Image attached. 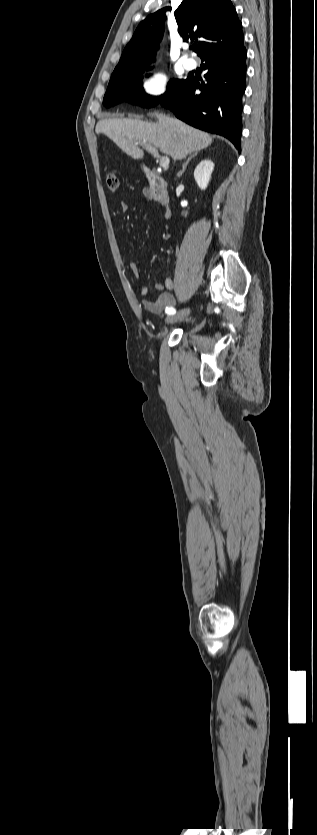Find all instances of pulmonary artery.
<instances>
[{"label": "pulmonary artery", "instance_id": "1", "mask_svg": "<svg viewBox=\"0 0 317 835\" xmlns=\"http://www.w3.org/2000/svg\"><path fill=\"white\" fill-rule=\"evenodd\" d=\"M184 67L186 70H194L197 67V61L193 57H189L184 61Z\"/></svg>", "mask_w": 317, "mask_h": 835}]
</instances>
